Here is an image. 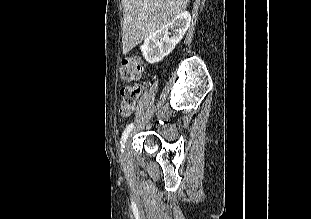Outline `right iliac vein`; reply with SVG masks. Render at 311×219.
Returning a JSON list of instances; mask_svg holds the SVG:
<instances>
[{"mask_svg": "<svg viewBox=\"0 0 311 219\" xmlns=\"http://www.w3.org/2000/svg\"><path fill=\"white\" fill-rule=\"evenodd\" d=\"M127 152H128V142H126L124 149L122 150V160H126L127 159Z\"/></svg>", "mask_w": 311, "mask_h": 219, "instance_id": "right-iliac-vein-1", "label": "right iliac vein"}]
</instances>
